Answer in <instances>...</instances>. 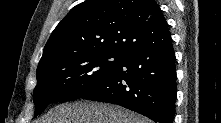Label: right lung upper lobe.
Masks as SVG:
<instances>
[{
	"label": "right lung upper lobe",
	"instance_id": "1",
	"mask_svg": "<svg viewBox=\"0 0 221 123\" xmlns=\"http://www.w3.org/2000/svg\"><path fill=\"white\" fill-rule=\"evenodd\" d=\"M168 38L166 19L154 0H87L54 29L38 66L92 50L127 54Z\"/></svg>",
	"mask_w": 221,
	"mask_h": 123
}]
</instances>
